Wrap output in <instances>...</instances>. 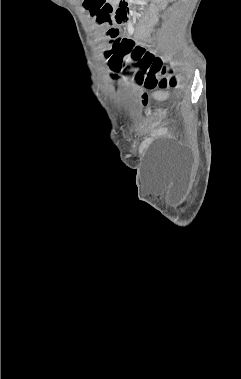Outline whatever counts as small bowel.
Listing matches in <instances>:
<instances>
[{"label":"small bowel","instance_id":"1","mask_svg":"<svg viewBox=\"0 0 241 379\" xmlns=\"http://www.w3.org/2000/svg\"><path fill=\"white\" fill-rule=\"evenodd\" d=\"M117 39L121 40L120 38H118V32H117ZM122 40L125 41L126 39H122ZM143 88H146V91H144V94L155 93L156 92V87L155 86H147L146 87V85H143ZM155 96L158 99H166L169 96V93L165 92V91H159V92H157L155 94ZM138 105L141 106L142 110H147L148 109V105H149L148 96L147 95H143V94H139Z\"/></svg>","mask_w":241,"mask_h":379}]
</instances>
